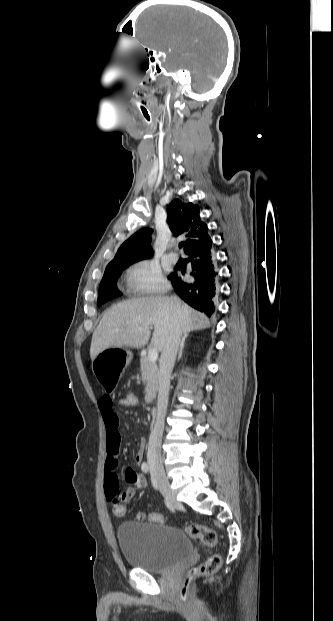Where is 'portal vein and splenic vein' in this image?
I'll return each mask as SVG.
<instances>
[{
  "instance_id": "18ae733b",
  "label": "portal vein and splenic vein",
  "mask_w": 333,
  "mask_h": 621,
  "mask_svg": "<svg viewBox=\"0 0 333 621\" xmlns=\"http://www.w3.org/2000/svg\"><path fill=\"white\" fill-rule=\"evenodd\" d=\"M138 330H139V331H141L142 329H141V328H139ZM148 358H149V360H150L151 362H155V361L157 360V358H158V352H157V349H156V348H152V349H150V350H149V353H148Z\"/></svg>"
}]
</instances>
